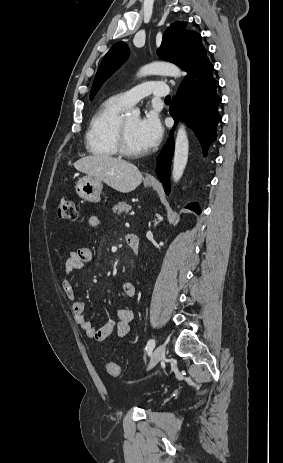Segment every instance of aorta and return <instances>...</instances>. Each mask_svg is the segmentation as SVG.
Returning a JSON list of instances; mask_svg holds the SVG:
<instances>
[{
    "mask_svg": "<svg viewBox=\"0 0 283 463\" xmlns=\"http://www.w3.org/2000/svg\"><path fill=\"white\" fill-rule=\"evenodd\" d=\"M148 75H166L172 77H181L183 75L181 69L175 64L168 62H154L142 67L138 76H148ZM132 115L138 116L140 114L139 108H134L131 110ZM188 152H189V141L187 137V132L184 124H181L177 131V136L175 140V151L173 158V170L172 178L175 183H177L183 176L184 170L188 161Z\"/></svg>",
    "mask_w": 283,
    "mask_h": 463,
    "instance_id": "aorta-1",
    "label": "aorta"
}]
</instances>
